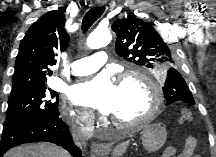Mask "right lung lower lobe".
<instances>
[{
	"mask_svg": "<svg viewBox=\"0 0 216 157\" xmlns=\"http://www.w3.org/2000/svg\"><path fill=\"white\" fill-rule=\"evenodd\" d=\"M36 141H47L61 145L73 157H82L81 150L73 143L68 126L59 116L30 120L4 130L0 142V157H3L10 148Z\"/></svg>",
	"mask_w": 216,
	"mask_h": 157,
	"instance_id": "obj_1",
	"label": "right lung lower lobe"
}]
</instances>
